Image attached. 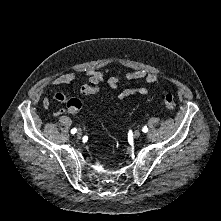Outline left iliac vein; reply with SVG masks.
Returning a JSON list of instances; mask_svg holds the SVG:
<instances>
[{
  "label": "left iliac vein",
  "instance_id": "obj_1",
  "mask_svg": "<svg viewBox=\"0 0 221 221\" xmlns=\"http://www.w3.org/2000/svg\"><path fill=\"white\" fill-rule=\"evenodd\" d=\"M140 135H141V132H140V131L136 130V131L134 132V137H139Z\"/></svg>",
  "mask_w": 221,
  "mask_h": 221
}]
</instances>
